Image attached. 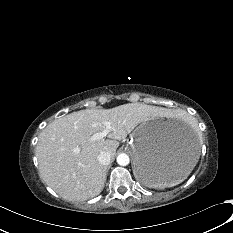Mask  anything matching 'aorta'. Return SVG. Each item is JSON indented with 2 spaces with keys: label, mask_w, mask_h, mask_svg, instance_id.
I'll return each mask as SVG.
<instances>
[{
  "label": "aorta",
  "mask_w": 233,
  "mask_h": 233,
  "mask_svg": "<svg viewBox=\"0 0 233 233\" xmlns=\"http://www.w3.org/2000/svg\"><path fill=\"white\" fill-rule=\"evenodd\" d=\"M130 162L129 156L125 153H121L117 156V163L120 166H126Z\"/></svg>",
  "instance_id": "762f6f07"
}]
</instances>
